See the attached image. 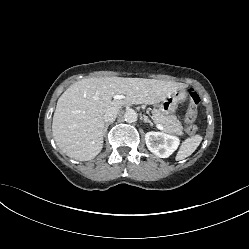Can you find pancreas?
Here are the masks:
<instances>
[{
	"label": "pancreas",
	"instance_id": "pancreas-1",
	"mask_svg": "<svg viewBox=\"0 0 249 249\" xmlns=\"http://www.w3.org/2000/svg\"><path fill=\"white\" fill-rule=\"evenodd\" d=\"M152 119L156 124H160L164 127V132L169 134H175L178 136H182L183 126L179 120H177L176 116L169 115L166 116L162 114L159 110L152 111Z\"/></svg>",
	"mask_w": 249,
	"mask_h": 249
}]
</instances>
